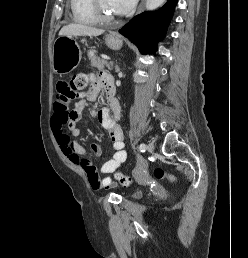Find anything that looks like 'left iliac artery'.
<instances>
[{"label":"left iliac artery","mask_w":248,"mask_h":258,"mask_svg":"<svg viewBox=\"0 0 248 258\" xmlns=\"http://www.w3.org/2000/svg\"><path fill=\"white\" fill-rule=\"evenodd\" d=\"M139 150H140L141 152H145V150H146V145H145L144 143L140 144Z\"/></svg>","instance_id":"44dca946"}]
</instances>
